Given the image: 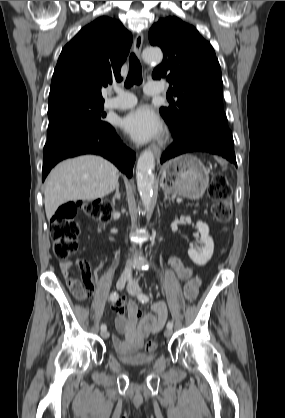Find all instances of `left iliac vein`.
I'll return each mask as SVG.
<instances>
[{"label": "left iliac vein", "mask_w": 285, "mask_h": 418, "mask_svg": "<svg viewBox=\"0 0 285 418\" xmlns=\"http://www.w3.org/2000/svg\"><path fill=\"white\" fill-rule=\"evenodd\" d=\"M126 289L128 291V293L132 296H137L138 294H140L141 289L138 285V283L136 281H129L127 283ZM165 337H170L172 335V329L171 328H167L164 332Z\"/></svg>", "instance_id": "obj_1"}]
</instances>
